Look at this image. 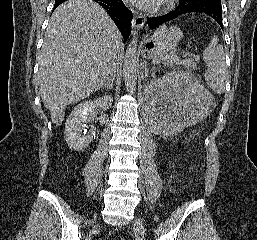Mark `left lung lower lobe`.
<instances>
[{"label": "left lung lower lobe", "mask_w": 257, "mask_h": 240, "mask_svg": "<svg viewBox=\"0 0 257 240\" xmlns=\"http://www.w3.org/2000/svg\"><path fill=\"white\" fill-rule=\"evenodd\" d=\"M188 13H201L213 18L222 28V8L221 1L209 0L205 2H199L191 4L179 0L178 6L171 12L154 18H148V26L150 29H155L163 23L174 20L184 14Z\"/></svg>", "instance_id": "0a47b994"}]
</instances>
